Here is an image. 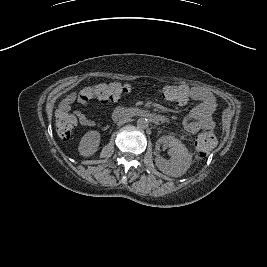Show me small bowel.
<instances>
[{
    "mask_svg": "<svg viewBox=\"0 0 267 267\" xmlns=\"http://www.w3.org/2000/svg\"><path fill=\"white\" fill-rule=\"evenodd\" d=\"M180 88L187 92L186 100L180 104H186L189 100L200 102V104L193 108L183 120L184 129L192 134L201 130H213L215 126L213 113L217 108V101L213 94L201 86H180ZM74 102H79L82 105L87 104V102L83 101L76 93H70L63 99L61 103V110H69ZM75 114L82 126H100L94 119L86 117L80 111H76Z\"/></svg>",
    "mask_w": 267,
    "mask_h": 267,
    "instance_id": "c3829d8e",
    "label": "small bowel"
}]
</instances>
